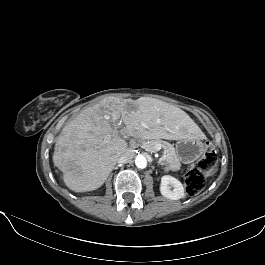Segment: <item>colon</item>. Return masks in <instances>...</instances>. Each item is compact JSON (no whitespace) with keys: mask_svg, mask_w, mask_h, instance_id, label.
<instances>
[{"mask_svg":"<svg viewBox=\"0 0 265 265\" xmlns=\"http://www.w3.org/2000/svg\"><path fill=\"white\" fill-rule=\"evenodd\" d=\"M217 155L214 146L207 143L202 158L191 167L185 176L187 193L195 196L201 192L205 185V175L216 163Z\"/></svg>","mask_w":265,"mask_h":265,"instance_id":"colon-1","label":"colon"}]
</instances>
